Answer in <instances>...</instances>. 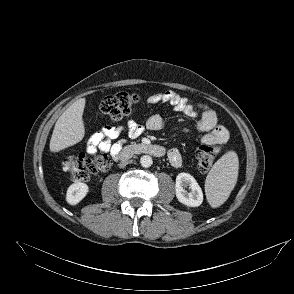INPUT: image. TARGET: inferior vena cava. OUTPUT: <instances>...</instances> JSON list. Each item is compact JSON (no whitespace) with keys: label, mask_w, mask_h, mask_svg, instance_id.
Returning <instances> with one entry per match:
<instances>
[{"label":"inferior vena cava","mask_w":294,"mask_h":294,"mask_svg":"<svg viewBox=\"0 0 294 294\" xmlns=\"http://www.w3.org/2000/svg\"><path fill=\"white\" fill-rule=\"evenodd\" d=\"M128 162L126 160H122V162L120 163V167H123L127 164Z\"/></svg>","instance_id":"inferior-vena-cava-1"}]
</instances>
